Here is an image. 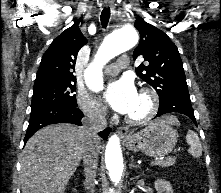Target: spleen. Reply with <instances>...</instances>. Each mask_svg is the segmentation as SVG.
<instances>
[{"label":"spleen","instance_id":"obj_1","mask_svg":"<svg viewBox=\"0 0 221 193\" xmlns=\"http://www.w3.org/2000/svg\"><path fill=\"white\" fill-rule=\"evenodd\" d=\"M186 141L190 145L189 153L194 157H200L202 155V145L198 135L192 130H188Z\"/></svg>","mask_w":221,"mask_h":193}]
</instances>
